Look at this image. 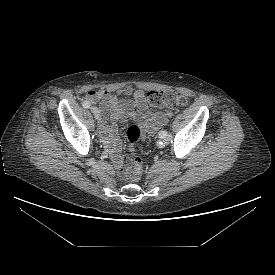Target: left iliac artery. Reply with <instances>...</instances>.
<instances>
[{"instance_id": "44dca946", "label": "left iliac artery", "mask_w": 275, "mask_h": 275, "mask_svg": "<svg viewBox=\"0 0 275 275\" xmlns=\"http://www.w3.org/2000/svg\"><path fill=\"white\" fill-rule=\"evenodd\" d=\"M168 133L166 132V131H160L159 133H158V135H159V137L160 138H163L165 135H167Z\"/></svg>"}]
</instances>
